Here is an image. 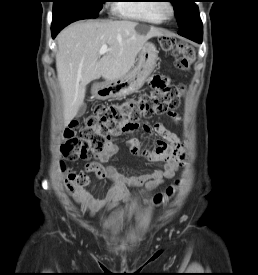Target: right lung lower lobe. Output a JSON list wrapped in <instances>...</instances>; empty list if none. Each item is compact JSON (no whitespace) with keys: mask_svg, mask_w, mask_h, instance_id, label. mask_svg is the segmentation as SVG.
Here are the masks:
<instances>
[{"mask_svg":"<svg viewBox=\"0 0 258 275\" xmlns=\"http://www.w3.org/2000/svg\"><path fill=\"white\" fill-rule=\"evenodd\" d=\"M84 19L82 17L78 16H65L60 18H53L52 26H51V32L52 37L55 38V36L59 33L60 30H62L65 26L69 25L70 23Z\"/></svg>","mask_w":258,"mask_h":275,"instance_id":"98d812e1","label":"right lung lower lobe"}]
</instances>
